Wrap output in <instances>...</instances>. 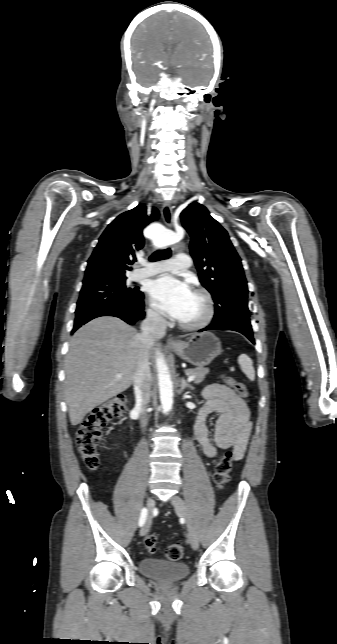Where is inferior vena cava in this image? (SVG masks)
Masks as SVG:
<instances>
[{
  "label": "inferior vena cava",
  "instance_id": "obj_1",
  "mask_svg": "<svg viewBox=\"0 0 337 644\" xmlns=\"http://www.w3.org/2000/svg\"><path fill=\"white\" fill-rule=\"evenodd\" d=\"M166 329L165 319L154 311H149L141 324L140 341L144 350L139 358L138 368L134 377L135 407L141 412V427L147 425L145 409L150 399L151 373L149 367L148 348L153 344L156 335H164Z\"/></svg>",
  "mask_w": 337,
  "mask_h": 644
}]
</instances>
